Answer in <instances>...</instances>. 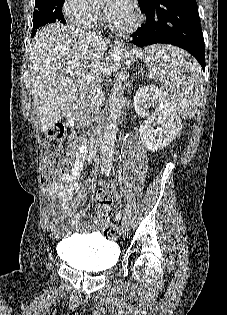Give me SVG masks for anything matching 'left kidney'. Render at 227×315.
<instances>
[{"mask_svg":"<svg viewBox=\"0 0 227 315\" xmlns=\"http://www.w3.org/2000/svg\"><path fill=\"white\" fill-rule=\"evenodd\" d=\"M155 107L158 118L149 114V108ZM136 113L146 118L139 128L142 143L151 151L168 146L182 129V121L176 110L154 85L142 86L134 96ZM159 125L156 130L154 126Z\"/></svg>","mask_w":227,"mask_h":315,"instance_id":"5707ae66","label":"left kidney"}]
</instances>
